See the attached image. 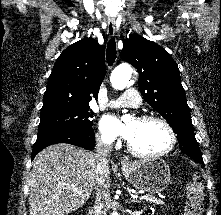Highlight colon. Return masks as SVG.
I'll list each match as a JSON object with an SVG mask.
<instances>
[{
  "label": "colon",
  "mask_w": 221,
  "mask_h": 215,
  "mask_svg": "<svg viewBox=\"0 0 221 215\" xmlns=\"http://www.w3.org/2000/svg\"><path fill=\"white\" fill-rule=\"evenodd\" d=\"M203 191L200 183L193 178L187 185V200L182 215H202Z\"/></svg>",
  "instance_id": "5ec220e1"
}]
</instances>
